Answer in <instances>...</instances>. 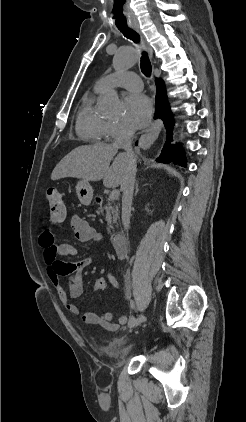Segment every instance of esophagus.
<instances>
[{"instance_id":"obj_1","label":"esophagus","mask_w":246,"mask_h":422,"mask_svg":"<svg viewBox=\"0 0 246 422\" xmlns=\"http://www.w3.org/2000/svg\"><path fill=\"white\" fill-rule=\"evenodd\" d=\"M132 28L140 35L144 47L149 52V54L152 55L151 48L149 47L139 25L135 24L132 26ZM160 127H161L160 120H155L152 122L151 126L146 130V132L141 137L140 146L142 148H148L154 142V140L157 138L159 134Z\"/></svg>"}]
</instances>
